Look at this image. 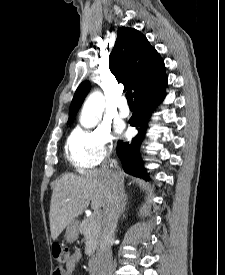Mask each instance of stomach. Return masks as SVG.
Segmentation results:
<instances>
[{
	"mask_svg": "<svg viewBox=\"0 0 225 275\" xmlns=\"http://www.w3.org/2000/svg\"><path fill=\"white\" fill-rule=\"evenodd\" d=\"M78 230H79L78 223L71 222L67 226V229H66V232H65V239L68 242L75 241L78 238Z\"/></svg>",
	"mask_w": 225,
	"mask_h": 275,
	"instance_id": "1",
	"label": "stomach"
}]
</instances>
